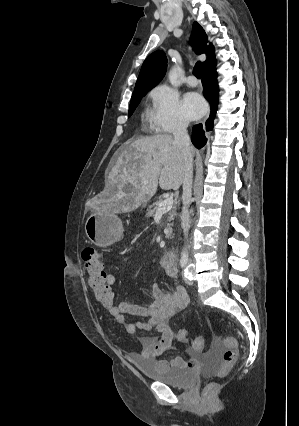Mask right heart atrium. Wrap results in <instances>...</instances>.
<instances>
[{"label": "right heart atrium", "instance_id": "1", "mask_svg": "<svg viewBox=\"0 0 299 426\" xmlns=\"http://www.w3.org/2000/svg\"><path fill=\"white\" fill-rule=\"evenodd\" d=\"M153 109L151 122L154 128L163 133H171L185 128L188 118L179 95L167 85H160L152 92Z\"/></svg>", "mask_w": 299, "mask_h": 426}]
</instances>
